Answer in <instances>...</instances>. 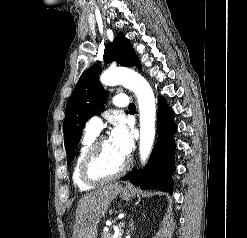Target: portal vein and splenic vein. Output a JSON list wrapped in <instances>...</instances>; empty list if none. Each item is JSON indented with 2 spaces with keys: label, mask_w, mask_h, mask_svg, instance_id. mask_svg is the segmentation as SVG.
I'll return each mask as SVG.
<instances>
[{
  "label": "portal vein and splenic vein",
  "mask_w": 247,
  "mask_h": 238,
  "mask_svg": "<svg viewBox=\"0 0 247 238\" xmlns=\"http://www.w3.org/2000/svg\"><path fill=\"white\" fill-rule=\"evenodd\" d=\"M118 225H119V227L124 226V222H120ZM118 232H119V229H115V235H117ZM115 237H116V236H114V238H115Z\"/></svg>",
  "instance_id": "portal-vein-and-splenic-vein-1"
}]
</instances>
